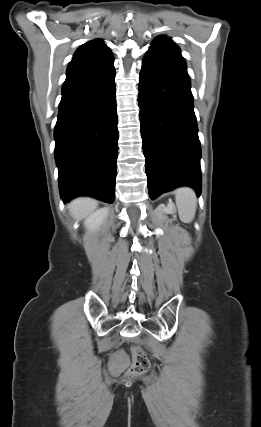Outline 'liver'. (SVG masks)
I'll return each instance as SVG.
<instances>
[{
    "mask_svg": "<svg viewBox=\"0 0 261 427\" xmlns=\"http://www.w3.org/2000/svg\"><path fill=\"white\" fill-rule=\"evenodd\" d=\"M97 207L98 202L88 197L76 198L68 205L71 215L77 220L87 218L97 209Z\"/></svg>",
    "mask_w": 261,
    "mask_h": 427,
    "instance_id": "6515ba94",
    "label": "liver"
}]
</instances>
